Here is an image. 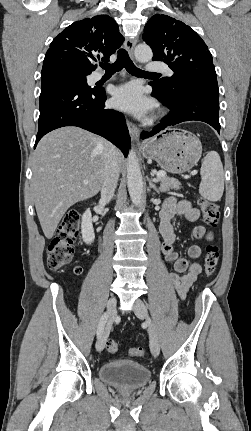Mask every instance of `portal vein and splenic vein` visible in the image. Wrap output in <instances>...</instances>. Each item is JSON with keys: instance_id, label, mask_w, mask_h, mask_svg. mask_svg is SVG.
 I'll use <instances>...</instances> for the list:
<instances>
[{"instance_id": "18ae733b", "label": "portal vein and splenic vein", "mask_w": 251, "mask_h": 431, "mask_svg": "<svg viewBox=\"0 0 251 431\" xmlns=\"http://www.w3.org/2000/svg\"><path fill=\"white\" fill-rule=\"evenodd\" d=\"M166 175V173L165 172H158L157 174H156V177H157V179H155V181L156 180H158V178H160V177H162V176H165ZM186 178V177H185ZM83 183L84 184H88V180H84L83 181Z\"/></svg>"}]
</instances>
